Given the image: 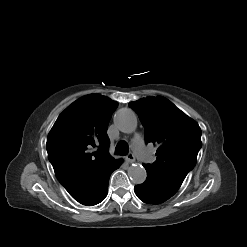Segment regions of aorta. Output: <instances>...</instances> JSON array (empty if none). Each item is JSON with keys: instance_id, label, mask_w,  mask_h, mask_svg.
<instances>
[{"instance_id": "aorta-1", "label": "aorta", "mask_w": 247, "mask_h": 247, "mask_svg": "<svg viewBox=\"0 0 247 247\" xmlns=\"http://www.w3.org/2000/svg\"><path fill=\"white\" fill-rule=\"evenodd\" d=\"M116 127L123 133H132L137 128V116L131 109H120L114 117ZM128 175L135 184H142L147 177V172L142 165H132L128 169Z\"/></svg>"}]
</instances>
